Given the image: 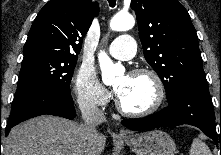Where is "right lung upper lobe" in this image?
I'll list each match as a JSON object with an SVG mask.
<instances>
[{
    "mask_svg": "<svg viewBox=\"0 0 221 155\" xmlns=\"http://www.w3.org/2000/svg\"><path fill=\"white\" fill-rule=\"evenodd\" d=\"M98 4L91 0H50L35 18L23 55L77 59Z\"/></svg>",
    "mask_w": 221,
    "mask_h": 155,
    "instance_id": "right-lung-upper-lobe-1",
    "label": "right lung upper lobe"
}]
</instances>
